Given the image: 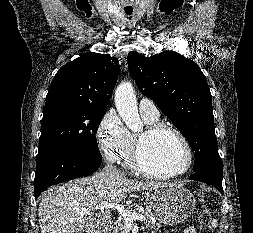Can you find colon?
<instances>
[{"label":"colon","mask_w":253,"mask_h":233,"mask_svg":"<svg viewBox=\"0 0 253 233\" xmlns=\"http://www.w3.org/2000/svg\"><path fill=\"white\" fill-rule=\"evenodd\" d=\"M199 201L203 204V209L201 210L198 216V225L200 233H212V227L210 223V214L205 205V195L202 193L198 194Z\"/></svg>","instance_id":"obj_1"}]
</instances>
